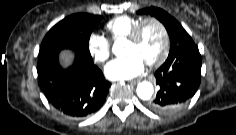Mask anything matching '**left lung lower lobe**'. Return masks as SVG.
<instances>
[{
	"label": "left lung lower lobe",
	"instance_id": "1",
	"mask_svg": "<svg viewBox=\"0 0 236 135\" xmlns=\"http://www.w3.org/2000/svg\"><path fill=\"white\" fill-rule=\"evenodd\" d=\"M202 58L197 46L167 58L155 72L159 91L150 103L154 112L169 114L185 105L201 82Z\"/></svg>",
	"mask_w": 236,
	"mask_h": 135
}]
</instances>
